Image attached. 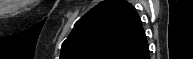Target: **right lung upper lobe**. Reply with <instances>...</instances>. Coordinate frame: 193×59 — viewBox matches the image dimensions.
<instances>
[{"label": "right lung upper lobe", "instance_id": "obj_1", "mask_svg": "<svg viewBox=\"0 0 193 59\" xmlns=\"http://www.w3.org/2000/svg\"><path fill=\"white\" fill-rule=\"evenodd\" d=\"M147 44L135 8L125 0H106L76 22L60 59H127Z\"/></svg>", "mask_w": 193, "mask_h": 59}]
</instances>
